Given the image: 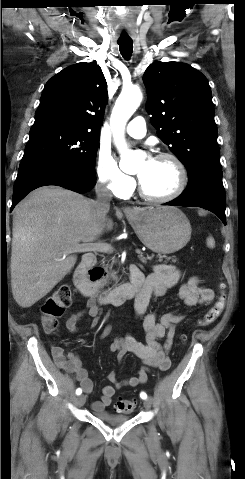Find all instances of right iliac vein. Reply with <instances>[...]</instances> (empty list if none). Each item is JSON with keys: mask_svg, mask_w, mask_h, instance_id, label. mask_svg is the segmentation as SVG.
<instances>
[{"mask_svg": "<svg viewBox=\"0 0 245 479\" xmlns=\"http://www.w3.org/2000/svg\"><path fill=\"white\" fill-rule=\"evenodd\" d=\"M85 400H86L85 396H84V395H80V396H78V397L76 398V404H77L78 406H82V405L85 403Z\"/></svg>", "mask_w": 245, "mask_h": 479, "instance_id": "obj_1", "label": "right iliac vein"}]
</instances>
